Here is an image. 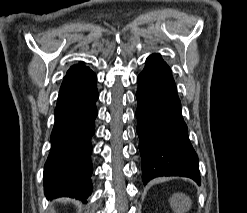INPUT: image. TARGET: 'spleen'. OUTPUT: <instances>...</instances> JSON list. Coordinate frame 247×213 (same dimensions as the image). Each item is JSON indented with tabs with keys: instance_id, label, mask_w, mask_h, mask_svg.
Segmentation results:
<instances>
[{
	"instance_id": "1",
	"label": "spleen",
	"mask_w": 247,
	"mask_h": 213,
	"mask_svg": "<svg viewBox=\"0 0 247 213\" xmlns=\"http://www.w3.org/2000/svg\"><path fill=\"white\" fill-rule=\"evenodd\" d=\"M173 206L178 213H182L190 207V202L185 197H177L175 198V201L173 202Z\"/></svg>"
}]
</instances>
